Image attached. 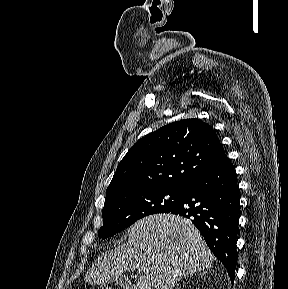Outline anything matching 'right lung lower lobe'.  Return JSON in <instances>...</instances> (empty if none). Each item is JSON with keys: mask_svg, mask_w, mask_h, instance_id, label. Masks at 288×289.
I'll use <instances>...</instances> for the list:
<instances>
[{"mask_svg": "<svg viewBox=\"0 0 288 289\" xmlns=\"http://www.w3.org/2000/svg\"><path fill=\"white\" fill-rule=\"evenodd\" d=\"M183 189L182 200L168 213L181 215L193 222L210 250L224 264L233 282L240 207L233 165L224 155Z\"/></svg>", "mask_w": 288, "mask_h": 289, "instance_id": "right-lung-lower-lobe-1", "label": "right lung lower lobe"}]
</instances>
